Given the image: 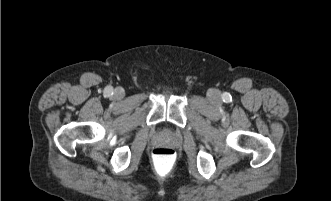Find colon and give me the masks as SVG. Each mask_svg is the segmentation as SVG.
Returning <instances> with one entry per match:
<instances>
[{
	"label": "colon",
	"instance_id": "5ec220e1",
	"mask_svg": "<svg viewBox=\"0 0 331 201\" xmlns=\"http://www.w3.org/2000/svg\"><path fill=\"white\" fill-rule=\"evenodd\" d=\"M152 164L160 177L170 175L177 164V153L173 148L160 146L152 151Z\"/></svg>",
	"mask_w": 331,
	"mask_h": 201
}]
</instances>
